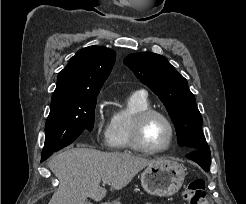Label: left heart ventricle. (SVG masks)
Returning a JSON list of instances; mask_svg holds the SVG:
<instances>
[{"instance_id": "left-heart-ventricle-1", "label": "left heart ventricle", "mask_w": 246, "mask_h": 204, "mask_svg": "<svg viewBox=\"0 0 246 204\" xmlns=\"http://www.w3.org/2000/svg\"><path fill=\"white\" fill-rule=\"evenodd\" d=\"M169 134V128L165 121L158 116H153L144 126L142 140L149 148H160L166 145Z\"/></svg>"}]
</instances>
